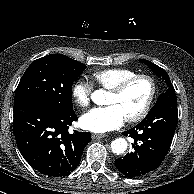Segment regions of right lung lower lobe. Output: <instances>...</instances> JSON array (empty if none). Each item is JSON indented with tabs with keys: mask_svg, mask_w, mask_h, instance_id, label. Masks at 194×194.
Wrapping results in <instances>:
<instances>
[{
	"mask_svg": "<svg viewBox=\"0 0 194 194\" xmlns=\"http://www.w3.org/2000/svg\"><path fill=\"white\" fill-rule=\"evenodd\" d=\"M77 119L70 105L56 106L42 99L14 103L16 143L33 169L52 177L67 176L76 169L91 141L89 132H68Z\"/></svg>",
	"mask_w": 194,
	"mask_h": 194,
	"instance_id": "right-lung-lower-lobe-1",
	"label": "right lung lower lobe"
}]
</instances>
